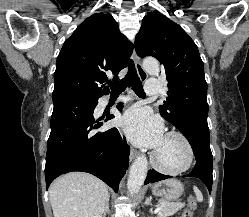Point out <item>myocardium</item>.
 Listing matches in <instances>:
<instances>
[{
  "label": "myocardium",
  "mask_w": 249,
  "mask_h": 217,
  "mask_svg": "<svg viewBox=\"0 0 249 217\" xmlns=\"http://www.w3.org/2000/svg\"><path fill=\"white\" fill-rule=\"evenodd\" d=\"M165 138H176L177 140L181 142L186 152L184 162L181 165L176 166V167L165 166L158 159L157 151L155 150L154 152H152L151 158H150L152 165L158 171L164 174H168V175H178V174H181L187 171L192 166L193 161H194V149L192 147L191 142L182 132L177 131V130L169 131L165 135Z\"/></svg>",
  "instance_id": "obj_1"
}]
</instances>
